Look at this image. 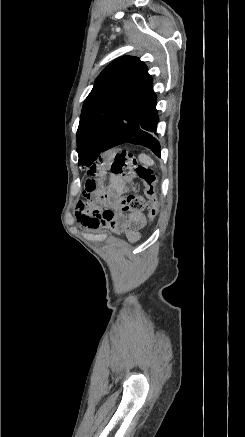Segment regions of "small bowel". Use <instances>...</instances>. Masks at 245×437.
I'll list each match as a JSON object with an SVG mask.
<instances>
[{"label":"small bowel","mask_w":245,"mask_h":437,"mask_svg":"<svg viewBox=\"0 0 245 437\" xmlns=\"http://www.w3.org/2000/svg\"><path fill=\"white\" fill-rule=\"evenodd\" d=\"M114 159L113 154H100L99 162L96 166H91L90 171L87 173L88 180L85 193L93 203H98V200L94 197L95 192H101L102 189L101 183H96V180H101L113 168ZM123 189V181L119 177H112L110 179V191L105 196L107 208L103 211H93V214L89 215L88 206L80 203L77 212L78 220L91 229H97L104 225L115 233H125L132 242L137 241L140 238V230L146 222L145 216L140 212H134L128 216L113 212Z\"/></svg>","instance_id":"obj_1"}]
</instances>
